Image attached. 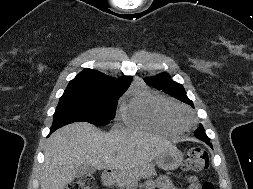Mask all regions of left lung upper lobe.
<instances>
[{
    "mask_svg": "<svg viewBox=\"0 0 253 189\" xmlns=\"http://www.w3.org/2000/svg\"><path fill=\"white\" fill-rule=\"evenodd\" d=\"M144 80L147 84L153 86L154 88L163 90L164 92L179 99L180 101L193 106L192 101L189 100L186 96V92L183 86L171 80L170 76L167 73H162L155 77L146 78ZM195 133H199L201 135L206 136L205 130L202 126L197 129Z\"/></svg>",
    "mask_w": 253,
    "mask_h": 189,
    "instance_id": "obj_1",
    "label": "left lung upper lobe"
}]
</instances>
